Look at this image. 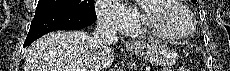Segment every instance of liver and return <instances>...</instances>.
Segmentation results:
<instances>
[{
	"mask_svg": "<svg viewBox=\"0 0 230 71\" xmlns=\"http://www.w3.org/2000/svg\"><path fill=\"white\" fill-rule=\"evenodd\" d=\"M113 61V50L96 46L92 35L57 31L33 43L24 71H104Z\"/></svg>",
	"mask_w": 230,
	"mask_h": 71,
	"instance_id": "liver-1",
	"label": "liver"
}]
</instances>
